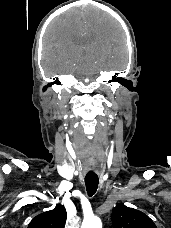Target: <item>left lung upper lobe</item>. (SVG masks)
<instances>
[{
    "label": "left lung upper lobe",
    "instance_id": "1",
    "mask_svg": "<svg viewBox=\"0 0 171 228\" xmlns=\"http://www.w3.org/2000/svg\"><path fill=\"white\" fill-rule=\"evenodd\" d=\"M114 228H157L143 212L118 204L112 211Z\"/></svg>",
    "mask_w": 171,
    "mask_h": 228
}]
</instances>
